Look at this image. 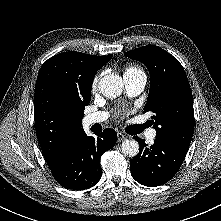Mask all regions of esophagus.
<instances>
[{
    "instance_id": "34e87169",
    "label": "esophagus",
    "mask_w": 221,
    "mask_h": 221,
    "mask_svg": "<svg viewBox=\"0 0 221 221\" xmlns=\"http://www.w3.org/2000/svg\"><path fill=\"white\" fill-rule=\"evenodd\" d=\"M125 139H126V136L123 133H121V132L117 133V141L118 142H121V141H123Z\"/></svg>"
}]
</instances>
